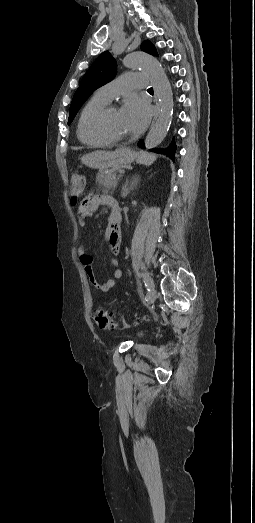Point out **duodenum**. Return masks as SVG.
Wrapping results in <instances>:
<instances>
[{
	"mask_svg": "<svg viewBox=\"0 0 255 523\" xmlns=\"http://www.w3.org/2000/svg\"><path fill=\"white\" fill-rule=\"evenodd\" d=\"M107 203L111 207V213L108 218V223L112 227H118L121 222V219H122V213H121L120 206L112 198H108Z\"/></svg>",
	"mask_w": 255,
	"mask_h": 523,
	"instance_id": "410a0bca",
	"label": "duodenum"
}]
</instances>
